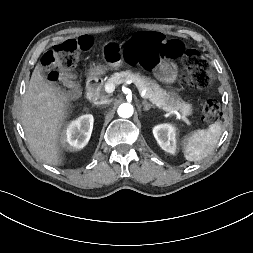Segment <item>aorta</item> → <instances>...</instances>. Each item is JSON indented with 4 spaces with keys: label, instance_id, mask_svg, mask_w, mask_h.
<instances>
[{
    "label": "aorta",
    "instance_id": "1",
    "mask_svg": "<svg viewBox=\"0 0 253 253\" xmlns=\"http://www.w3.org/2000/svg\"><path fill=\"white\" fill-rule=\"evenodd\" d=\"M118 115L122 118H129L133 115V106L129 103H123L118 108Z\"/></svg>",
    "mask_w": 253,
    "mask_h": 253
}]
</instances>
